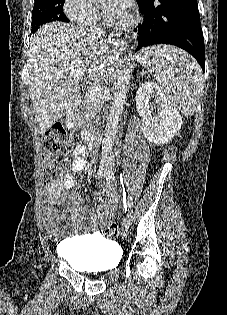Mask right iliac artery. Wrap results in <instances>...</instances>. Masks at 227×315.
Instances as JSON below:
<instances>
[{
	"mask_svg": "<svg viewBox=\"0 0 227 315\" xmlns=\"http://www.w3.org/2000/svg\"><path fill=\"white\" fill-rule=\"evenodd\" d=\"M105 173H106V170H103V169L99 170L96 174V179L105 177Z\"/></svg>",
	"mask_w": 227,
	"mask_h": 315,
	"instance_id": "82829eb1",
	"label": "right iliac artery"
}]
</instances>
